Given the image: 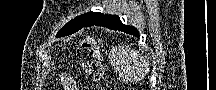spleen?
Segmentation results:
<instances>
[{
    "instance_id": "obj_1",
    "label": "spleen",
    "mask_w": 216,
    "mask_h": 90,
    "mask_svg": "<svg viewBox=\"0 0 216 90\" xmlns=\"http://www.w3.org/2000/svg\"><path fill=\"white\" fill-rule=\"evenodd\" d=\"M124 54L126 62H129L133 72H139V70L142 72L143 68H145V60L140 56L139 52L132 50V48H125Z\"/></svg>"
}]
</instances>
